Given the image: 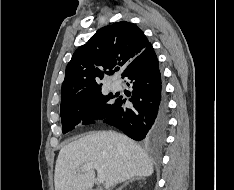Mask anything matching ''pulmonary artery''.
<instances>
[{"label": "pulmonary artery", "mask_w": 234, "mask_h": 190, "mask_svg": "<svg viewBox=\"0 0 234 190\" xmlns=\"http://www.w3.org/2000/svg\"><path fill=\"white\" fill-rule=\"evenodd\" d=\"M111 87H112L113 90H118L120 88V85L117 84V83H114V84L111 85Z\"/></svg>", "instance_id": "e3ab8cb5"}]
</instances>
